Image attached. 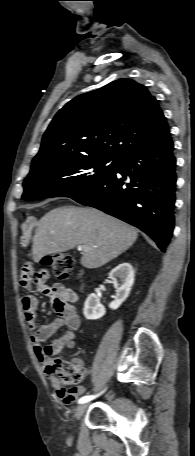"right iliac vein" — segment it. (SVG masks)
Returning a JSON list of instances; mask_svg holds the SVG:
<instances>
[{
    "instance_id": "obj_1",
    "label": "right iliac vein",
    "mask_w": 195,
    "mask_h": 456,
    "mask_svg": "<svg viewBox=\"0 0 195 456\" xmlns=\"http://www.w3.org/2000/svg\"><path fill=\"white\" fill-rule=\"evenodd\" d=\"M86 408H87V404H85V403L80 404L75 410L74 417L76 419H79L84 414Z\"/></svg>"
}]
</instances>
